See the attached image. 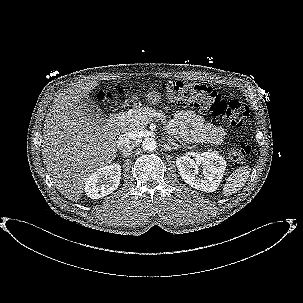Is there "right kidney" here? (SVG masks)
Returning <instances> with one entry per match:
<instances>
[{
    "label": "right kidney",
    "mask_w": 303,
    "mask_h": 303,
    "mask_svg": "<svg viewBox=\"0 0 303 303\" xmlns=\"http://www.w3.org/2000/svg\"><path fill=\"white\" fill-rule=\"evenodd\" d=\"M121 179V166L112 164L90 174L85 182V193L92 199L102 198L117 189Z\"/></svg>",
    "instance_id": "right-kidney-1"
}]
</instances>
